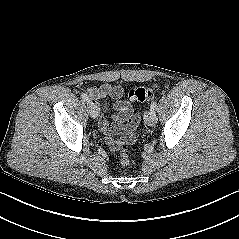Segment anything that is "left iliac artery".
Masks as SVG:
<instances>
[{
    "label": "left iliac artery",
    "instance_id": "left-iliac-artery-1",
    "mask_svg": "<svg viewBox=\"0 0 239 239\" xmlns=\"http://www.w3.org/2000/svg\"><path fill=\"white\" fill-rule=\"evenodd\" d=\"M156 106H157V102L153 101L150 106L151 110L156 111Z\"/></svg>",
    "mask_w": 239,
    "mask_h": 239
}]
</instances>
